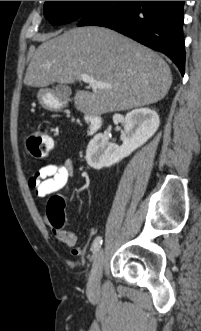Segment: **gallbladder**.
<instances>
[{
	"label": "gallbladder",
	"instance_id": "bac80fb5",
	"mask_svg": "<svg viewBox=\"0 0 201 331\" xmlns=\"http://www.w3.org/2000/svg\"><path fill=\"white\" fill-rule=\"evenodd\" d=\"M54 93L62 99H68L71 94V90L67 85L59 84L55 87Z\"/></svg>",
	"mask_w": 201,
	"mask_h": 331
}]
</instances>
